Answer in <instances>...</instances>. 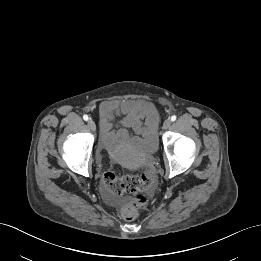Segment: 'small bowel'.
<instances>
[{"instance_id":"1","label":"small bowel","mask_w":261,"mask_h":261,"mask_svg":"<svg viewBox=\"0 0 261 261\" xmlns=\"http://www.w3.org/2000/svg\"><path fill=\"white\" fill-rule=\"evenodd\" d=\"M98 114L101 131L105 138L117 132H124L123 129L113 130L114 119L120 115H123L120 124L124 128H131L138 132L144 130L145 133L153 134L159 122L155 107L143 100H106L100 104Z\"/></svg>"}]
</instances>
